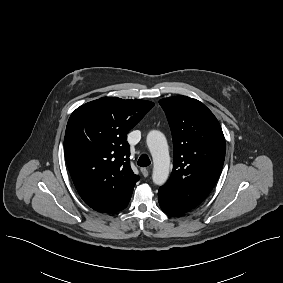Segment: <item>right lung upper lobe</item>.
<instances>
[{"instance_id":"1","label":"right lung upper lobe","mask_w":283,"mask_h":283,"mask_svg":"<svg viewBox=\"0 0 283 283\" xmlns=\"http://www.w3.org/2000/svg\"><path fill=\"white\" fill-rule=\"evenodd\" d=\"M153 106L145 100L103 97L71 114L65 159L78 193L92 209L115 213L128 205L139 176L130 167L126 136Z\"/></svg>"}]
</instances>
